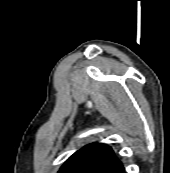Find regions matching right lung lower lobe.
Returning <instances> with one entry per match:
<instances>
[{"mask_svg": "<svg viewBox=\"0 0 170 173\" xmlns=\"http://www.w3.org/2000/svg\"><path fill=\"white\" fill-rule=\"evenodd\" d=\"M106 173H125V169H124L123 165L121 164L115 168L110 169Z\"/></svg>", "mask_w": 170, "mask_h": 173, "instance_id": "1", "label": "right lung lower lobe"}]
</instances>
